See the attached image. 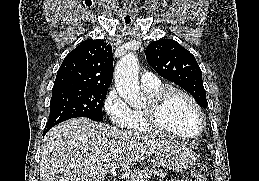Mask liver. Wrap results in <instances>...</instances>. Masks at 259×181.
<instances>
[{
	"instance_id": "1",
	"label": "liver",
	"mask_w": 259,
	"mask_h": 181,
	"mask_svg": "<svg viewBox=\"0 0 259 181\" xmlns=\"http://www.w3.org/2000/svg\"><path fill=\"white\" fill-rule=\"evenodd\" d=\"M172 143L73 118L45 135L40 181H101L109 171L130 169Z\"/></svg>"
}]
</instances>
